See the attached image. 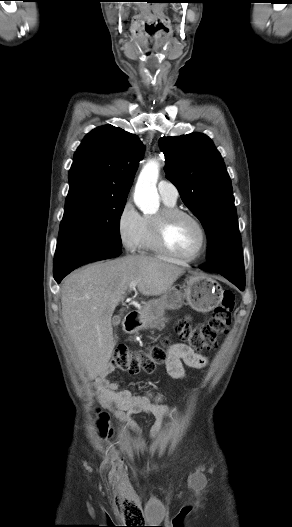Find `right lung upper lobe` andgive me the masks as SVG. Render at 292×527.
<instances>
[{"label":"right lung upper lobe","mask_w":292,"mask_h":527,"mask_svg":"<svg viewBox=\"0 0 292 527\" xmlns=\"http://www.w3.org/2000/svg\"><path fill=\"white\" fill-rule=\"evenodd\" d=\"M143 154L135 134L112 125L95 128L74 154L69 184L127 196Z\"/></svg>","instance_id":"cb5924a9"}]
</instances>
